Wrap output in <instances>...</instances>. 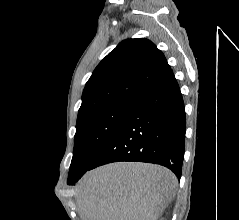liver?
<instances>
[{
  "instance_id": "obj_1",
  "label": "liver",
  "mask_w": 239,
  "mask_h": 220,
  "mask_svg": "<svg viewBox=\"0 0 239 220\" xmlns=\"http://www.w3.org/2000/svg\"><path fill=\"white\" fill-rule=\"evenodd\" d=\"M178 181L154 164L117 162L87 172L77 185L82 220H157Z\"/></svg>"
}]
</instances>
